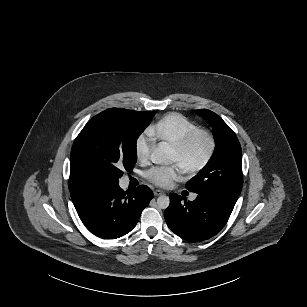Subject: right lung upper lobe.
Instances as JSON below:
<instances>
[{
  "instance_id": "obj_1",
  "label": "right lung upper lobe",
  "mask_w": 307,
  "mask_h": 307,
  "mask_svg": "<svg viewBox=\"0 0 307 307\" xmlns=\"http://www.w3.org/2000/svg\"><path fill=\"white\" fill-rule=\"evenodd\" d=\"M141 116H145V117H150V116H153L154 115V112H151V111H137ZM81 185H78V184H74L72 182H69V190L72 191L74 190L75 188L79 187Z\"/></svg>"
}]
</instances>
